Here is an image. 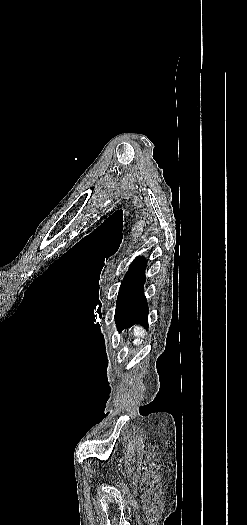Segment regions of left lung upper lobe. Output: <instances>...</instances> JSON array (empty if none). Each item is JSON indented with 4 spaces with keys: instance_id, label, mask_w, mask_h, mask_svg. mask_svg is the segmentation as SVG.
<instances>
[{
    "instance_id": "5c2ea615",
    "label": "left lung upper lobe",
    "mask_w": 247,
    "mask_h": 525,
    "mask_svg": "<svg viewBox=\"0 0 247 525\" xmlns=\"http://www.w3.org/2000/svg\"><path fill=\"white\" fill-rule=\"evenodd\" d=\"M147 261L137 257L129 266L128 272L121 283L118 299L145 273Z\"/></svg>"
}]
</instances>
